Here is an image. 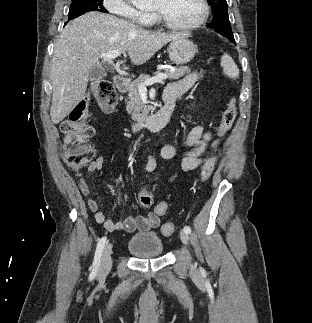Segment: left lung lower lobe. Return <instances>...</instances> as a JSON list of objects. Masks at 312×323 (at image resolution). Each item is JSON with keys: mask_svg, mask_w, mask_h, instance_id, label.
Segmentation results:
<instances>
[{"mask_svg": "<svg viewBox=\"0 0 312 323\" xmlns=\"http://www.w3.org/2000/svg\"><path fill=\"white\" fill-rule=\"evenodd\" d=\"M229 39L235 43V40L234 39H232V38H229Z\"/></svg>", "mask_w": 312, "mask_h": 323, "instance_id": "1", "label": "left lung lower lobe"}]
</instances>
